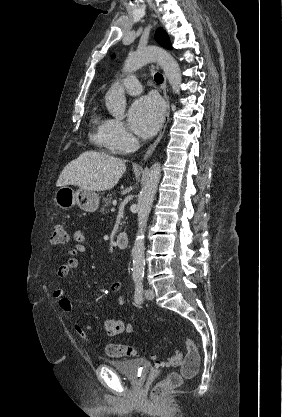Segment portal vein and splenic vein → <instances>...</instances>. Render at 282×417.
<instances>
[{
	"label": "portal vein and splenic vein",
	"instance_id": "obj_1",
	"mask_svg": "<svg viewBox=\"0 0 282 417\" xmlns=\"http://www.w3.org/2000/svg\"><path fill=\"white\" fill-rule=\"evenodd\" d=\"M113 204H117V200H113ZM113 211H118V206H113Z\"/></svg>",
	"mask_w": 282,
	"mask_h": 417
}]
</instances>
